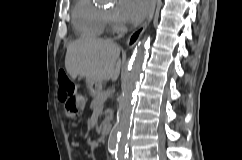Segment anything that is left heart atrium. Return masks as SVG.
<instances>
[{
    "instance_id": "1",
    "label": "left heart atrium",
    "mask_w": 242,
    "mask_h": 160,
    "mask_svg": "<svg viewBox=\"0 0 242 160\" xmlns=\"http://www.w3.org/2000/svg\"><path fill=\"white\" fill-rule=\"evenodd\" d=\"M151 5L152 0H119L114 14L121 23L136 24L148 14Z\"/></svg>"
}]
</instances>
